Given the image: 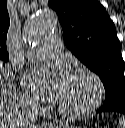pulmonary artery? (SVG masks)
Instances as JSON below:
<instances>
[{
  "label": "pulmonary artery",
  "mask_w": 125,
  "mask_h": 128,
  "mask_svg": "<svg viewBox=\"0 0 125 128\" xmlns=\"http://www.w3.org/2000/svg\"><path fill=\"white\" fill-rule=\"evenodd\" d=\"M62 53V45L58 37L53 36L46 40L45 45L27 51L26 57L30 60L40 61L50 57H58Z\"/></svg>",
  "instance_id": "obj_1"
}]
</instances>
